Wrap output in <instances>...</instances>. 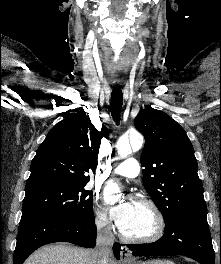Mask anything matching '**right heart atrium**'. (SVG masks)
Returning <instances> with one entry per match:
<instances>
[{
    "label": "right heart atrium",
    "instance_id": "obj_1",
    "mask_svg": "<svg viewBox=\"0 0 221 264\" xmlns=\"http://www.w3.org/2000/svg\"><path fill=\"white\" fill-rule=\"evenodd\" d=\"M94 222L97 229L101 231L107 232L111 229L106 211L98 206L94 208Z\"/></svg>",
    "mask_w": 221,
    "mask_h": 264
}]
</instances>
